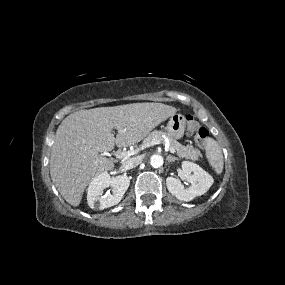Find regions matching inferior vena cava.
I'll return each instance as SVG.
<instances>
[{
    "label": "inferior vena cava",
    "mask_w": 285,
    "mask_h": 285,
    "mask_svg": "<svg viewBox=\"0 0 285 285\" xmlns=\"http://www.w3.org/2000/svg\"><path fill=\"white\" fill-rule=\"evenodd\" d=\"M141 162L142 160L139 156L132 157L123 163V167L126 169H131V168L138 166Z\"/></svg>",
    "instance_id": "602c4592"
}]
</instances>
